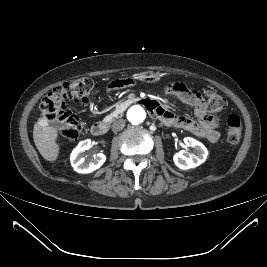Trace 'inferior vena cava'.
<instances>
[{"mask_svg": "<svg viewBox=\"0 0 267 267\" xmlns=\"http://www.w3.org/2000/svg\"><path fill=\"white\" fill-rule=\"evenodd\" d=\"M124 126H125V120L123 119L116 120L112 124V131L113 132L121 131L124 128Z\"/></svg>", "mask_w": 267, "mask_h": 267, "instance_id": "inferior-vena-cava-1", "label": "inferior vena cava"}]
</instances>
